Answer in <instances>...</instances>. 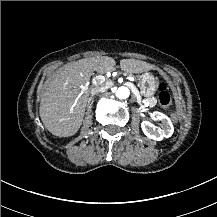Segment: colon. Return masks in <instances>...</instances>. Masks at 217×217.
Here are the masks:
<instances>
[{
	"label": "colon",
	"mask_w": 217,
	"mask_h": 217,
	"mask_svg": "<svg viewBox=\"0 0 217 217\" xmlns=\"http://www.w3.org/2000/svg\"><path fill=\"white\" fill-rule=\"evenodd\" d=\"M158 100L161 107L170 109L172 105L171 95L165 82H160L158 85ZM178 120L177 117L174 118Z\"/></svg>",
	"instance_id": "1"
}]
</instances>
